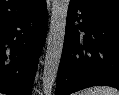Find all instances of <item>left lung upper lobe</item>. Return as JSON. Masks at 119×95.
<instances>
[{"mask_svg":"<svg viewBox=\"0 0 119 95\" xmlns=\"http://www.w3.org/2000/svg\"><path fill=\"white\" fill-rule=\"evenodd\" d=\"M99 12L119 16V0H76Z\"/></svg>","mask_w":119,"mask_h":95,"instance_id":"1","label":"left lung upper lobe"}]
</instances>
